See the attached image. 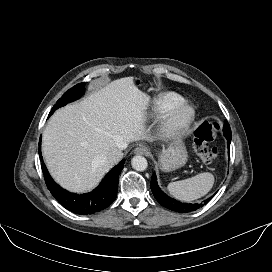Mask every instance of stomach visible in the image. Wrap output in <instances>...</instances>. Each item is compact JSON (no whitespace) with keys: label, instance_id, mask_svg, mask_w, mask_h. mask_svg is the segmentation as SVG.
Masks as SVG:
<instances>
[{"label":"stomach","instance_id":"0dacf381","mask_svg":"<svg viewBox=\"0 0 272 272\" xmlns=\"http://www.w3.org/2000/svg\"><path fill=\"white\" fill-rule=\"evenodd\" d=\"M187 150L180 140L173 141L162 149L159 155V167L162 171L170 172L184 166L187 162Z\"/></svg>","mask_w":272,"mask_h":272}]
</instances>
